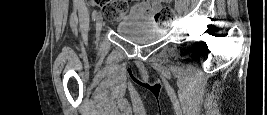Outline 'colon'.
<instances>
[{
    "mask_svg": "<svg viewBox=\"0 0 267 115\" xmlns=\"http://www.w3.org/2000/svg\"><path fill=\"white\" fill-rule=\"evenodd\" d=\"M129 11L128 2L125 0L109 2L103 5L102 15L109 22H117L123 19ZM155 19L160 22H171L176 19V10L169 5L157 8Z\"/></svg>",
    "mask_w": 267,
    "mask_h": 115,
    "instance_id": "1",
    "label": "colon"
}]
</instances>
